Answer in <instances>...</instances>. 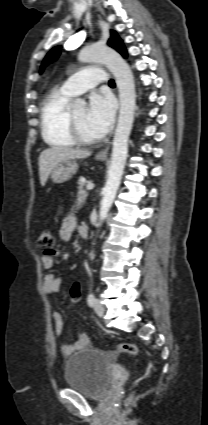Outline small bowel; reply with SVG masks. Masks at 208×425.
<instances>
[{
  "instance_id": "small-bowel-1",
  "label": "small bowel",
  "mask_w": 208,
  "mask_h": 425,
  "mask_svg": "<svg viewBox=\"0 0 208 425\" xmlns=\"http://www.w3.org/2000/svg\"><path fill=\"white\" fill-rule=\"evenodd\" d=\"M80 226L77 224L76 219L73 216L66 217L61 225L59 236L63 241H68L74 230H79ZM54 255L55 253H44V255L41 258V261L43 263V266L47 270H51L54 267ZM61 287V279L57 277L52 272L47 273L44 276L43 280V290L47 294H55L60 291ZM53 322L55 325V331L58 337L62 335L63 331V318L59 312H54L52 315ZM90 340L89 337L86 334L80 335L79 339L72 343V344H63L61 346V351L65 355L71 354L75 349L87 346L89 344Z\"/></svg>"
}]
</instances>
